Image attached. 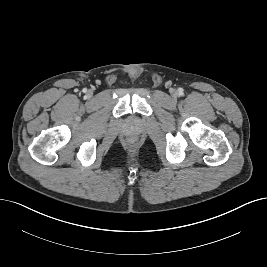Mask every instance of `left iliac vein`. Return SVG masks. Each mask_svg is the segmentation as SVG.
<instances>
[{
    "mask_svg": "<svg viewBox=\"0 0 267 267\" xmlns=\"http://www.w3.org/2000/svg\"><path fill=\"white\" fill-rule=\"evenodd\" d=\"M172 96L176 97L177 96V91L176 90H172Z\"/></svg>",
    "mask_w": 267,
    "mask_h": 267,
    "instance_id": "4c4485c4",
    "label": "left iliac vein"
}]
</instances>
